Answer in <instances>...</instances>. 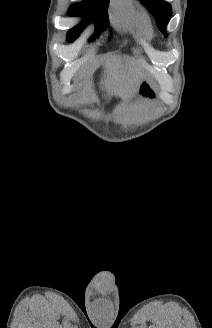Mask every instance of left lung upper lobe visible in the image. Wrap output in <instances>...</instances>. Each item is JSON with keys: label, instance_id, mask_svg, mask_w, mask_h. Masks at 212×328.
<instances>
[{"label": "left lung upper lobe", "instance_id": "5c2ea615", "mask_svg": "<svg viewBox=\"0 0 212 328\" xmlns=\"http://www.w3.org/2000/svg\"><path fill=\"white\" fill-rule=\"evenodd\" d=\"M141 3L154 15L162 33L171 17V6L162 0H140Z\"/></svg>", "mask_w": 212, "mask_h": 328}]
</instances>
